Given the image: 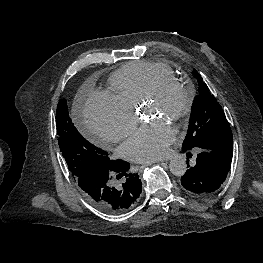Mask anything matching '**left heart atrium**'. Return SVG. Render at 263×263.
<instances>
[{
  "instance_id": "39dd6f15",
  "label": "left heart atrium",
  "mask_w": 263,
  "mask_h": 263,
  "mask_svg": "<svg viewBox=\"0 0 263 263\" xmlns=\"http://www.w3.org/2000/svg\"><path fill=\"white\" fill-rule=\"evenodd\" d=\"M174 136L171 125L163 118H156L134 130L121 146V153L137 163L158 160L167 154Z\"/></svg>"
}]
</instances>
